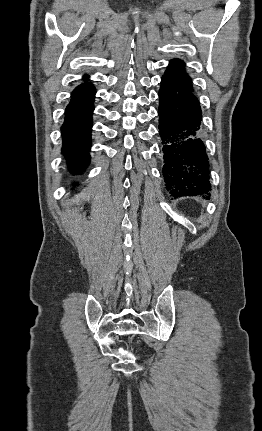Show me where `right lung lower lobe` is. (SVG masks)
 <instances>
[{"label":"right lung lower lobe","instance_id":"98d812e1","mask_svg":"<svg viewBox=\"0 0 262 431\" xmlns=\"http://www.w3.org/2000/svg\"><path fill=\"white\" fill-rule=\"evenodd\" d=\"M95 88L91 84L78 86L71 96L61 128L62 152L72 173L82 172L90 162L92 112Z\"/></svg>","mask_w":262,"mask_h":431}]
</instances>
